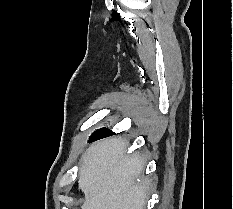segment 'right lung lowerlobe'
Listing matches in <instances>:
<instances>
[{
    "instance_id": "98d812e1",
    "label": "right lung lower lobe",
    "mask_w": 233,
    "mask_h": 209,
    "mask_svg": "<svg viewBox=\"0 0 233 209\" xmlns=\"http://www.w3.org/2000/svg\"><path fill=\"white\" fill-rule=\"evenodd\" d=\"M114 134L113 132L109 131L108 129L99 131V132H94L89 140V142L101 139V138H105L107 136H110Z\"/></svg>"
}]
</instances>
